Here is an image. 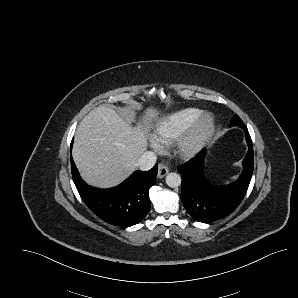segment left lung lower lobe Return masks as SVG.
Listing matches in <instances>:
<instances>
[{"instance_id": "0a47b994", "label": "left lung lower lobe", "mask_w": 298, "mask_h": 298, "mask_svg": "<svg viewBox=\"0 0 298 298\" xmlns=\"http://www.w3.org/2000/svg\"><path fill=\"white\" fill-rule=\"evenodd\" d=\"M240 127L246 133L249 150L243 160V173L234 183L227 186H214L206 180L205 150L178 167L182 176V203L186 211L200 222L211 223L231 214L247 192L254 168L253 146L245 124Z\"/></svg>"}]
</instances>
